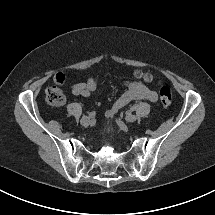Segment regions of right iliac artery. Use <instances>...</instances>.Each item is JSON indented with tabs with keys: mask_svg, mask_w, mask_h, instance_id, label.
Instances as JSON below:
<instances>
[{
	"mask_svg": "<svg viewBox=\"0 0 215 215\" xmlns=\"http://www.w3.org/2000/svg\"><path fill=\"white\" fill-rule=\"evenodd\" d=\"M94 115H95V111H92V112L89 113V117H91V118H92Z\"/></svg>",
	"mask_w": 215,
	"mask_h": 215,
	"instance_id": "82829eb1",
	"label": "right iliac artery"
}]
</instances>
